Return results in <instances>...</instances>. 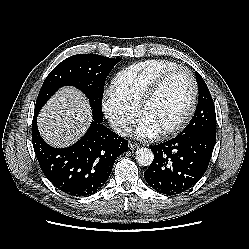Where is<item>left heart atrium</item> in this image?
<instances>
[{
    "label": "left heart atrium",
    "mask_w": 249,
    "mask_h": 249,
    "mask_svg": "<svg viewBox=\"0 0 249 249\" xmlns=\"http://www.w3.org/2000/svg\"><path fill=\"white\" fill-rule=\"evenodd\" d=\"M159 129L146 119H142L137 126L136 135L139 138H152L159 133Z\"/></svg>",
    "instance_id": "left-heart-atrium-1"
}]
</instances>
